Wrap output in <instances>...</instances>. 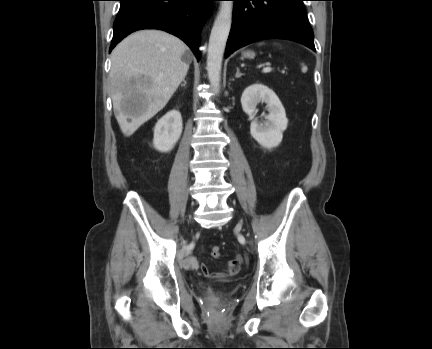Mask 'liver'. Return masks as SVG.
<instances>
[{
    "label": "liver",
    "instance_id": "obj_1",
    "mask_svg": "<svg viewBox=\"0 0 432 349\" xmlns=\"http://www.w3.org/2000/svg\"><path fill=\"white\" fill-rule=\"evenodd\" d=\"M186 52L189 50L183 41L159 30L132 33L113 49L111 97L125 136H131L168 103L187 75L189 62L182 61ZM128 99L136 102L131 113L121 105Z\"/></svg>",
    "mask_w": 432,
    "mask_h": 349
}]
</instances>
